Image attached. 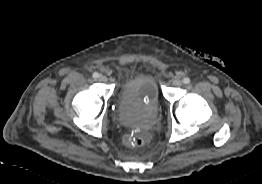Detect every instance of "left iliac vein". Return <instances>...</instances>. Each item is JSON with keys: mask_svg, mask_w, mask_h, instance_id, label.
<instances>
[{"mask_svg": "<svg viewBox=\"0 0 262 184\" xmlns=\"http://www.w3.org/2000/svg\"><path fill=\"white\" fill-rule=\"evenodd\" d=\"M172 84L174 86H181L182 85V80L179 79V78H175L173 81H172Z\"/></svg>", "mask_w": 262, "mask_h": 184, "instance_id": "1", "label": "left iliac vein"}]
</instances>
